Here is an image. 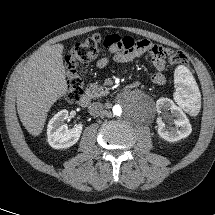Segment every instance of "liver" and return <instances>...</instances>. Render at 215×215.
Masks as SVG:
<instances>
[{
  "instance_id": "1",
  "label": "liver",
  "mask_w": 215,
  "mask_h": 215,
  "mask_svg": "<svg viewBox=\"0 0 215 215\" xmlns=\"http://www.w3.org/2000/svg\"><path fill=\"white\" fill-rule=\"evenodd\" d=\"M62 44L38 50L13 79L19 118L33 136L41 134L47 113L67 92Z\"/></svg>"
}]
</instances>
